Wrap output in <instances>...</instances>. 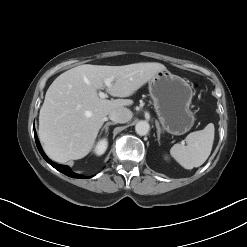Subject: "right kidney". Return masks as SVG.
Returning <instances> with one entry per match:
<instances>
[{"label":"right kidney","instance_id":"right-kidney-1","mask_svg":"<svg viewBox=\"0 0 247 247\" xmlns=\"http://www.w3.org/2000/svg\"><path fill=\"white\" fill-rule=\"evenodd\" d=\"M107 147H108L107 139H102L97 143L94 152L96 155L100 156L105 153Z\"/></svg>","mask_w":247,"mask_h":247}]
</instances>
